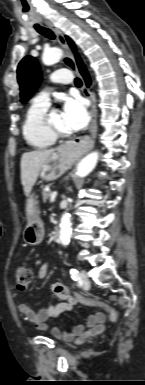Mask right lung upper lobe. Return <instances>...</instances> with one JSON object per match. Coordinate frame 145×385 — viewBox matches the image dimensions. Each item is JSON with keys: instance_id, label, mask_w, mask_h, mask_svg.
<instances>
[{"instance_id": "cb5924a9", "label": "right lung upper lobe", "mask_w": 145, "mask_h": 385, "mask_svg": "<svg viewBox=\"0 0 145 385\" xmlns=\"http://www.w3.org/2000/svg\"><path fill=\"white\" fill-rule=\"evenodd\" d=\"M66 39H67L68 44L70 45V47L74 50L75 49V45H74L73 41L70 38H68V37H66ZM76 60H77L78 66L83 64L81 59H80V57L78 55H76Z\"/></svg>"}]
</instances>
